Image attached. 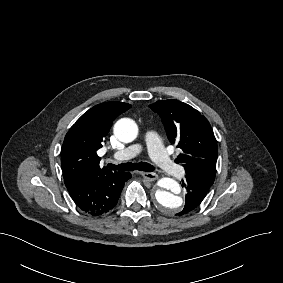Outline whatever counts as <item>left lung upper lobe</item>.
<instances>
[{
    "mask_svg": "<svg viewBox=\"0 0 283 283\" xmlns=\"http://www.w3.org/2000/svg\"><path fill=\"white\" fill-rule=\"evenodd\" d=\"M149 107L160 115L169 141L182 150L177 159L186 174L215 179L218 147L208 120L190 105L174 99L157 101Z\"/></svg>",
    "mask_w": 283,
    "mask_h": 283,
    "instance_id": "5c2ea615",
    "label": "left lung upper lobe"
}]
</instances>
